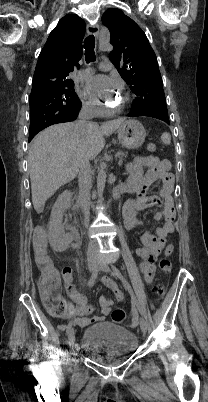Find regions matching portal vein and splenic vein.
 <instances>
[{
    "label": "portal vein and splenic vein",
    "instance_id": "1",
    "mask_svg": "<svg viewBox=\"0 0 208 402\" xmlns=\"http://www.w3.org/2000/svg\"><path fill=\"white\" fill-rule=\"evenodd\" d=\"M117 157H118V159H121V156H120V154H117Z\"/></svg>",
    "mask_w": 208,
    "mask_h": 402
}]
</instances>
